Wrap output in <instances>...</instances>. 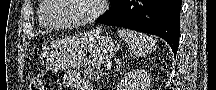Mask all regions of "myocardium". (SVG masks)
<instances>
[{"label":"myocardium","mask_w":216,"mask_h":90,"mask_svg":"<svg viewBox=\"0 0 216 90\" xmlns=\"http://www.w3.org/2000/svg\"><path fill=\"white\" fill-rule=\"evenodd\" d=\"M94 3H97V8L95 11L86 17L85 19L79 21L76 24L73 25H62L54 21V18H57V15H60V12H63V9L65 8L66 3L61 2V0H48L49 3H53L55 8H53V11H49L48 14H46V23L53 29L56 30H74L80 27H83L94 20H96L99 16H101L104 12V6L101 3H107V0H92Z\"/></svg>","instance_id":"1"}]
</instances>
